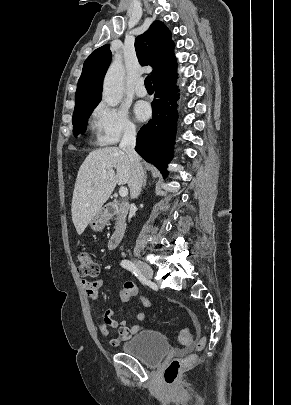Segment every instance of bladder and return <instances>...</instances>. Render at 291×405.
Segmentation results:
<instances>
[{
  "mask_svg": "<svg viewBox=\"0 0 291 405\" xmlns=\"http://www.w3.org/2000/svg\"><path fill=\"white\" fill-rule=\"evenodd\" d=\"M121 350L139 360L142 364L155 367L167 355L169 344L166 336L152 329L142 330L127 341H125Z\"/></svg>",
  "mask_w": 291,
  "mask_h": 405,
  "instance_id": "bladder-1",
  "label": "bladder"
}]
</instances>
